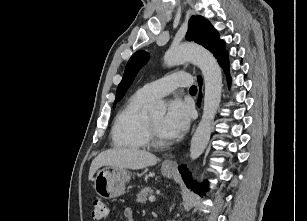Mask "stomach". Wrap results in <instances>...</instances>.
<instances>
[{"label": "stomach", "mask_w": 307, "mask_h": 221, "mask_svg": "<svg viewBox=\"0 0 307 221\" xmlns=\"http://www.w3.org/2000/svg\"><path fill=\"white\" fill-rule=\"evenodd\" d=\"M162 174L172 177L174 170L165 167L161 168ZM131 175L126 169L106 166L99 170L95 176L94 188L96 193L105 199L118 197L125 193L126 183Z\"/></svg>", "instance_id": "1"}]
</instances>
